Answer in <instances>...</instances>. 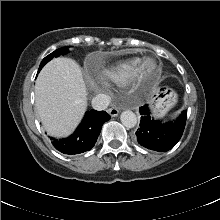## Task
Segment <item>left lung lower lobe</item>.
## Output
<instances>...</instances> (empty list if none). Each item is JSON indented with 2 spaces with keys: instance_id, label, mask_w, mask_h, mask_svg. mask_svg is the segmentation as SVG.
Listing matches in <instances>:
<instances>
[{
  "instance_id": "obj_1",
  "label": "left lung lower lobe",
  "mask_w": 220,
  "mask_h": 220,
  "mask_svg": "<svg viewBox=\"0 0 220 220\" xmlns=\"http://www.w3.org/2000/svg\"><path fill=\"white\" fill-rule=\"evenodd\" d=\"M142 115L140 127L136 132V140L140 145L151 150L166 152L180 140L187 118V111L174 121L162 123L151 117L147 105L140 107Z\"/></svg>"
}]
</instances>
